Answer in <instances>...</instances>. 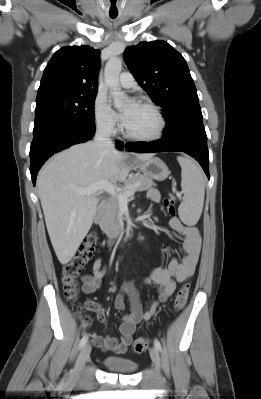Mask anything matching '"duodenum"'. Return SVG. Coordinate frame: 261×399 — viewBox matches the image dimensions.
I'll return each instance as SVG.
<instances>
[{"label": "duodenum", "instance_id": "410a0bca", "mask_svg": "<svg viewBox=\"0 0 261 399\" xmlns=\"http://www.w3.org/2000/svg\"><path fill=\"white\" fill-rule=\"evenodd\" d=\"M106 202L103 201L102 204L97 208L96 213H95V218L98 222H101L103 220V214H104V204ZM133 237V230L131 228H128L122 235H112L111 240H117L118 238H123V239H129Z\"/></svg>", "mask_w": 261, "mask_h": 399}]
</instances>
